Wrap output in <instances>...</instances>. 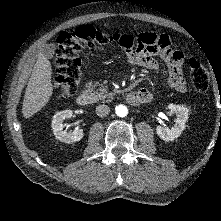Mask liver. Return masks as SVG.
Here are the masks:
<instances>
[{
	"mask_svg": "<svg viewBox=\"0 0 221 221\" xmlns=\"http://www.w3.org/2000/svg\"><path fill=\"white\" fill-rule=\"evenodd\" d=\"M51 77V63L46 55L40 52L24 95L22 114L25 118L40 111L50 100L53 94Z\"/></svg>",
	"mask_w": 221,
	"mask_h": 221,
	"instance_id": "6515ba94",
	"label": "liver"
}]
</instances>
